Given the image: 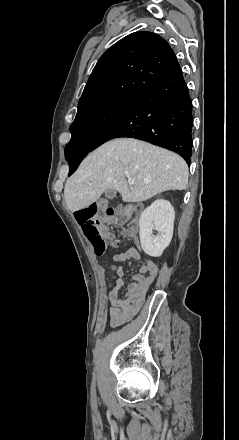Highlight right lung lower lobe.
Masks as SVG:
<instances>
[{
  "instance_id": "right-lung-lower-lobe-1",
  "label": "right lung lower lobe",
  "mask_w": 239,
  "mask_h": 440,
  "mask_svg": "<svg viewBox=\"0 0 239 440\" xmlns=\"http://www.w3.org/2000/svg\"><path fill=\"white\" fill-rule=\"evenodd\" d=\"M192 126V101L178 63L154 86L136 97L89 150L65 151L69 175L89 152L118 137L136 138L169 149L190 164Z\"/></svg>"
}]
</instances>
